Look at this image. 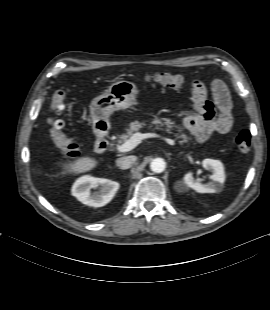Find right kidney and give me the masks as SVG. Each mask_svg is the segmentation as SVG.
Instances as JSON below:
<instances>
[{"label":"right kidney","instance_id":"right-kidney-1","mask_svg":"<svg viewBox=\"0 0 270 310\" xmlns=\"http://www.w3.org/2000/svg\"><path fill=\"white\" fill-rule=\"evenodd\" d=\"M99 190L91 193V189ZM119 189V183L89 175L78 178L72 186L71 194L80 202L92 207H102L109 203Z\"/></svg>","mask_w":270,"mask_h":310}]
</instances>
